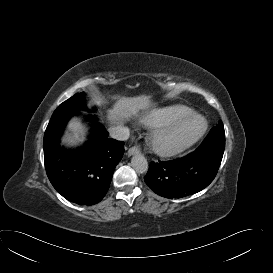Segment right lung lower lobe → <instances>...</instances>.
Returning <instances> with one entry per match:
<instances>
[{"label": "right lung lower lobe", "mask_w": 273, "mask_h": 273, "mask_svg": "<svg viewBox=\"0 0 273 273\" xmlns=\"http://www.w3.org/2000/svg\"><path fill=\"white\" fill-rule=\"evenodd\" d=\"M77 111H54L44 134V162L48 178L65 199L79 205L100 202L109 189L116 165L124 153V142L109 133L92 116L91 138L80 149L60 146L68 120Z\"/></svg>", "instance_id": "1"}]
</instances>
